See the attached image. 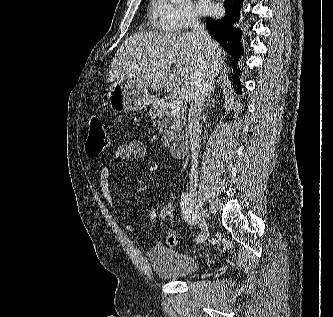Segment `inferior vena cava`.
Segmentation results:
<instances>
[{
  "label": "inferior vena cava",
  "instance_id": "602c4592",
  "mask_svg": "<svg viewBox=\"0 0 333 317\" xmlns=\"http://www.w3.org/2000/svg\"><path fill=\"white\" fill-rule=\"evenodd\" d=\"M192 33L202 42L205 47L210 42V36L204 26L198 22L192 24ZM215 73V66L212 58L209 57V62L205 64V72L201 74L194 85V90L191 95V104L188 115V136L191 150V172L190 186L197 188L198 185V156L200 150V116L203 109V104L208 92L211 89Z\"/></svg>",
  "mask_w": 333,
  "mask_h": 317
}]
</instances>
